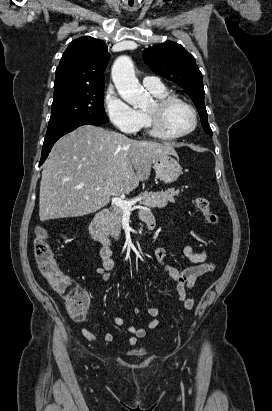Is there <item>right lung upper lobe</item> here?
Wrapping results in <instances>:
<instances>
[{
	"instance_id": "cb5924a9",
	"label": "right lung upper lobe",
	"mask_w": 272,
	"mask_h": 411,
	"mask_svg": "<svg viewBox=\"0 0 272 411\" xmlns=\"http://www.w3.org/2000/svg\"><path fill=\"white\" fill-rule=\"evenodd\" d=\"M110 54L100 39L81 37L73 40L56 69L54 93L71 88L104 85L103 72Z\"/></svg>"
}]
</instances>
